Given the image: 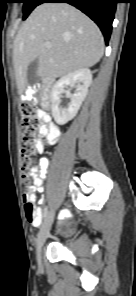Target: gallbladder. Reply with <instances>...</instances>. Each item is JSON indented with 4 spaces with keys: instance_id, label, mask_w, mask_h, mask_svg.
Returning <instances> with one entry per match:
<instances>
[{
    "instance_id": "1",
    "label": "gallbladder",
    "mask_w": 136,
    "mask_h": 296,
    "mask_svg": "<svg viewBox=\"0 0 136 296\" xmlns=\"http://www.w3.org/2000/svg\"><path fill=\"white\" fill-rule=\"evenodd\" d=\"M38 67H39L38 59H35L28 65V68H27L28 83H36L39 80Z\"/></svg>"
}]
</instances>
